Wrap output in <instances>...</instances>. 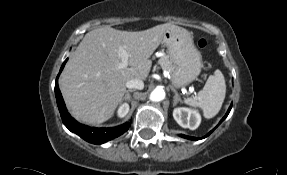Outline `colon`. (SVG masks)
Wrapping results in <instances>:
<instances>
[{"instance_id": "colon-1", "label": "colon", "mask_w": 287, "mask_h": 175, "mask_svg": "<svg viewBox=\"0 0 287 175\" xmlns=\"http://www.w3.org/2000/svg\"><path fill=\"white\" fill-rule=\"evenodd\" d=\"M197 45L201 49H205L207 47V41L203 38L197 40Z\"/></svg>"}]
</instances>
